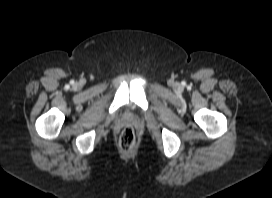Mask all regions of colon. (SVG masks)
Here are the masks:
<instances>
[{
    "mask_svg": "<svg viewBox=\"0 0 272 198\" xmlns=\"http://www.w3.org/2000/svg\"><path fill=\"white\" fill-rule=\"evenodd\" d=\"M119 144L123 150H129L134 146L135 132L132 127H126L122 130L119 137Z\"/></svg>",
    "mask_w": 272,
    "mask_h": 198,
    "instance_id": "obj_1",
    "label": "colon"
}]
</instances>
